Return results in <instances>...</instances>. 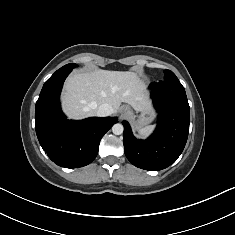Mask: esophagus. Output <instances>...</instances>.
<instances>
[{
  "instance_id": "1",
  "label": "esophagus",
  "mask_w": 235,
  "mask_h": 235,
  "mask_svg": "<svg viewBox=\"0 0 235 235\" xmlns=\"http://www.w3.org/2000/svg\"><path fill=\"white\" fill-rule=\"evenodd\" d=\"M128 109V107L126 106V107H124V111H126Z\"/></svg>"
}]
</instances>
